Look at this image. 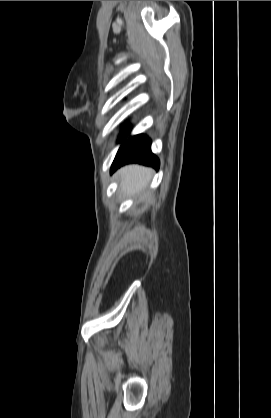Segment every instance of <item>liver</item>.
Here are the masks:
<instances>
[{
    "label": "liver",
    "mask_w": 271,
    "mask_h": 418,
    "mask_svg": "<svg viewBox=\"0 0 271 418\" xmlns=\"http://www.w3.org/2000/svg\"><path fill=\"white\" fill-rule=\"evenodd\" d=\"M152 173V169L140 165L121 168L117 173L121 190L127 196L140 195L147 187Z\"/></svg>",
    "instance_id": "6515ba94"
}]
</instances>
